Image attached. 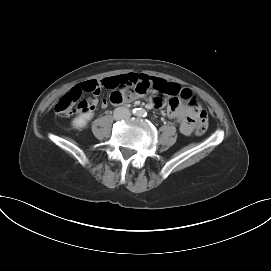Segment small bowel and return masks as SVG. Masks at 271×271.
<instances>
[{"label":"small bowel","instance_id":"obj_1","mask_svg":"<svg viewBox=\"0 0 271 271\" xmlns=\"http://www.w3.org/2000/svg\"><path fill=\"white\" fill-rule=\"evenodd\" d=\"M89 84L94 85L97 92L86 102V106L79 107L77 110L78 113L95 108L98 104L97 94L102 87L112 90L110 100L116 104L127 103L138 97H147L148 91H157L164 95H173L179 92V86L176 83L143 73H124L107 77L102 80H90L78 85V87L86 90V87ZM182 94L192 96L188 89L181 90V95ZM150 104L160 107L162 105V100L156 98L151 101ZM106 105L107 103L104 101L102 106L105 107ZM166 107L167 115L170 118H176L179 121L181 133L190 135L195 127V116L202 110L200 105L197 103L190 104L187 101L181 102L177 97H169L166 100Z\"/></svg>","mask_w":271,"mask_h":271}]
</instances>
